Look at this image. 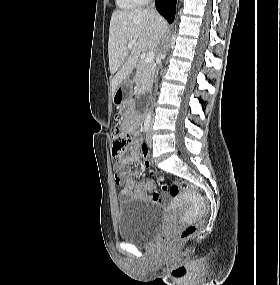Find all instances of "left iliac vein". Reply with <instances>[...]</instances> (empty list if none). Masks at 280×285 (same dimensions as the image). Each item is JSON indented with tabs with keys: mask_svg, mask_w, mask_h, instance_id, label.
Instances as JSON below:
<instances>
[{
	"mask_svg": "<svg viewBox=\"0 0 280 285\" xmlns=\"http://www.w3.org/2000/svg\"><path fill=\"white\" fill-rule=\"evenodd\" d=\"M151 135H152V128L150 126L149 128V131H148V134H147V143L151 146L152 145V138H151ZM148 145V146H149Z\"/></svg>",
	"mask_w": 280,
	"mask_h": 285,
	"instance_id": "left-iliac-vein-1",
	"label": "left iliac vein"
}]
</instances>
